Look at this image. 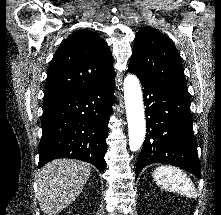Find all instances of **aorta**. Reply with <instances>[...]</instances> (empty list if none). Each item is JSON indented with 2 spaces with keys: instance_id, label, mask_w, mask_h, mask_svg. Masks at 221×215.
I'll list each match as a JSON object with an SVG mask.
<instances>
[{
  "instance_id": "obj_1",
  "label": "aorta",
  "mask_w": 221,
  "mask_h": 215,
  "mask_svg": "<svg viewBox=\"0 0 221 215\" xmlns=\"http://www.w3.org/2000/svg\"><path fill=\"white\" fill-rule=\"evenodd\" d=\"M123 89L128 120L129 148L134 152L142 146L146 133L142 91L138 78L128 74L124 79Z\"/></svg>"
}]
</instances>
